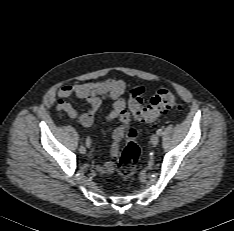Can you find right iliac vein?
<instances>
[{"label": "right iliac vein", "mask_w": 234, "mask_h": 231, "mask_svg": "<svg viewBox=\"0 0 234 231\" xmlns=\"http://www.w3.org/2000/svg\"><path fill=\"white\" fill-rule=\"evenodd\" d=\"M79 152H80L81 154H85V153H86V148H85L84 146H80Z\"/></svg>", "instance_id": "right-iliac-vein-1"}]
</instances>
